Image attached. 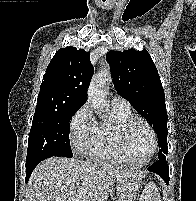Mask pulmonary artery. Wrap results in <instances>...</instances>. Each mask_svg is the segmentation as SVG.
Masks as SVG:
<instances>
[{"label": "pulmonary artery", "instance_id": "obj_1", "mask_svg": "<svg viewBox=\"0 0 196 201\" xmlns=\"http://www.w3.org/2000/svg\"><path fill=\"white\" fill-rule=\"evenodd\" d=\"M112 106L121 109H130L128 101L121 97H114L112 99Z\"/></svg>", "mask_w": 196, "mask_h": 201}]
</instances>
